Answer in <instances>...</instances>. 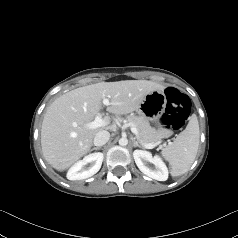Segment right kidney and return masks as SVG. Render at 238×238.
<instances>
[{
	"label": "right kidney",
	"mask_w": 238,
	"mask_h": 238,
	"mask_svg": "<svg viewBox=\"0 0 238 238\" xmlns=\"http://www.w3.org/2000/svg\"><path fill=\"white\" fill-rule=\"evenodd\" d=\"M103 158L104 156L100 152L85 156L68 170L67 178L69 180H82L93 176L100 170ZM88 163H91L92 166L88 170H84V166Z\"/></svg>",
	"instance_id": "1"
}]
</instances>
